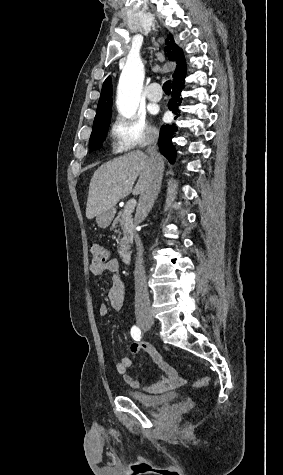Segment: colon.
Returning a JSON list of instances; mask_svg holds the SVG:
<instances>
[{
	"label": "colon",
	"instance_id": "5ec220e1",
	"mask_svg": "<svg viewBox=\"0 0 283 475\" xmlns=\"http://www.w3.org/2000/svg\"><path fill=\"white\" fill-rule=\"evenodd\" d=\"M90 254L92 257V265L98 269L112 260V251L99 243H93L90 247Z\"/></svg>",
	"mask_w": 283,
	"mask_h": 475
}]
</instances>
